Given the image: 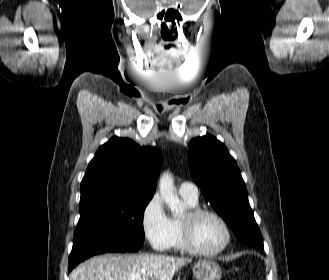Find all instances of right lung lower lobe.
<instances>
[{
	"mask_svg": "<svg viewBox=\"0 0 329 280\" xmlns=\"http://www.w3.org/2000/svg\"><path fill=\"white\" fill-rule=\"evenodd\" d=\"M126 251H129V250H125V249H121V248H117V247H112V246H104V247L94 249V250L86 253L85 255H83L78 260H76L72 265H69L68 266V272H70L80 262L84 261L85 259H87V258H89L93 255L102 254V253H106V252H126Z\"/></svg>",
	"mask_w": 329,
	"mask_h": 280,
	"instance_id": "right-lung-lower-lobe-1",
	"label": "right lung lower lobe"
}]
</instances>
